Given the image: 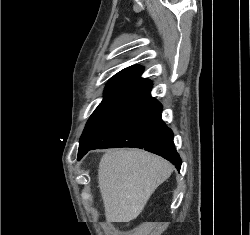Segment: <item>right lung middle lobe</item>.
Segmentation results:
<instances>
[{"mask_svg":"<svg viewBox=\"0 0 250 235\" xmlns=\"http://www.w3.org/2000/svg\"><path fill=\"white\" fill-rule=\"evenodd\" d=\"M128 99L127 97H105L88 120L80 141Z\"/></svg>","mask_w":250,"mask_h":235,"instance_id":"right-lung-middle-lobe-1","label":"right lung middle lobe"}]
</instances>
